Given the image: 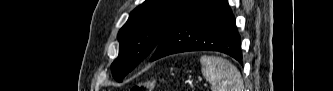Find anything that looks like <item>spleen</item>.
<instances>
[{
	"mask_svg": "<svg viewBox=\"0 0 333 91\" xmlns=\"http://www.w3.org/2000/svg\"><path fill=\"white\" fill-rule=\"evenodd\" d=\"M200 63L202 74L211 84L213 91H244L240 72L227 59L203 55Z\"/></svg>",
	"mask_w": 333,
	"mask_h": 91,
	"instance_id": "3e777b00",
	"label": "spleen"
}]
</instances>
